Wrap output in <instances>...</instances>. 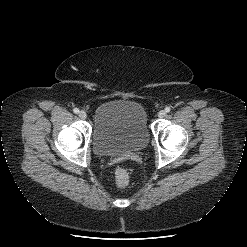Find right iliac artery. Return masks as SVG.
I'll list each match as a JSON object with an SVG mask.
<instances>
[{
	"mask_svg": "<svg viewBox=\"0 0 247 247\" xmlns=\"http://www.w3.org/2000/svg\"><path fill=\"white\" fill-rule=\"evenodd\" d=\"M73 112H74L75 114H78V113H79V109H78V108H74V109H73Z\"/></svg>",
	"mask_w": 247,
	"mask_h": 247,
	"instance_id": "1",
	"label": "right iliac artery"
}]
</instances>
